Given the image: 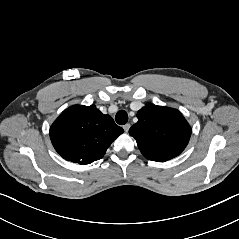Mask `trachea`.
Listing matches in <instances>:
<instances>
[{"label":"trachea","mask_w":239,"mask_h":239,"mask_svg":"<svg viewBox=\"0 0 239 239\" xmlns=\"http://www.w3.org/2000/svg\"><path fill=\"white\" fill-rule=\"evenodd\" d=\"M115 120L117 122V124L119 125H125L128 121V114L126 111L124 110H120L117 112L116 116H115Z\"/></svg>","instance_id":"obj_1"}]
</instances>
